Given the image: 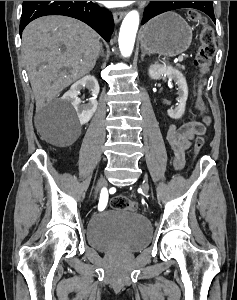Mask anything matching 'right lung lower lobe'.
<instances>
[{
  "instance_id": "obj_1",
  "label": "right lung lower lobe",
  "mask_w": 237,
  "mask_h": 300,
  "mask_svg": "<svg viewBox=\"0 0 237 300\" xmlns=\"http://www.w3.org/2000/svg\"><path fill=\"white\" fill-rule=\"evenodd\" d=\"M46 15H64L79 19L92 27L107 42L114 28L112 14L91 1H24L20 35L28 23Z\"/></svg>"
}]
</instances>
